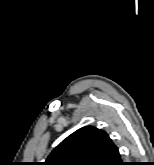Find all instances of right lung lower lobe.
I'll return each mask as SVG.
<instances>
[{
    "instance_id": "98d812e1",
    "label": "right lung lower lobe",
    "mask_w": 154,
    "mask_h": 165,
    "mask_svg": "<svg viewBox=\"0 0 154 165\" xmlns=\"http://www.w3.org/2000/svg\"><path fill=\"white\" fill-rule=\"evenodd\" d=\"M112 165H123V162L120 160V156L116 158V161Z\"/></svg>"
}]
</instances>
